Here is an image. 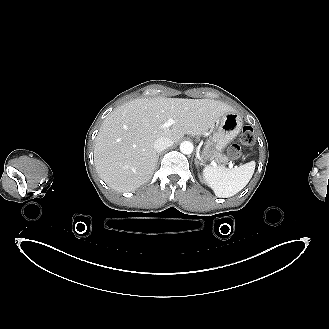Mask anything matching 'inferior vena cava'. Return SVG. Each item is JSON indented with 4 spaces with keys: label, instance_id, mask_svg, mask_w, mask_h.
Returning <instances> with one entry per match:
<instances>
[{
    "label": "inferior vena cava",
    "instance_id": "inferior-vena-cava-1",
    "mask_svg": "<svg viewBox=\"0 0 329 329\" xmlns=\"http://www.w3.org/2000/svg\"><path fill=\"white\" fill-rule=\"evenodd\" d=\"M172 145H173L172 139H170L168 137H160L154 142V149L157 152H161V151L169 148Z\"/></svg>",
    "mask_w": 329,
    "mask_h": 329
}]
</instances>
